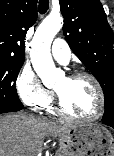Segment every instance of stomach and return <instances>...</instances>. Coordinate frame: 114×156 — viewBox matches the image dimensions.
Returning a JSON list of instances; mask_svg holds the SVG:
<instances>
[{"instance_id": "1", "label": "stomach", "mask_w": 114, "mask_h": 156, "mask_svg": "<svg viewBox=\"0 0 114 156\" xmlns=\"http://www.w3.org/2000/svg\"><path fill=\"white\" fill-rule=\"evenodd\" d=\"M56 156H114V138L101 125H75L61 135Z\"/></svg>"}]
</instances>
